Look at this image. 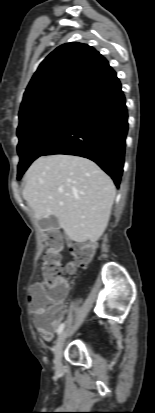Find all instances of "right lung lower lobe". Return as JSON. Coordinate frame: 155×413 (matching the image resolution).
I'll return each instance as SVG.
<instances>
[{"mask_svg": "<svg viewBox=\"0 0 155 413\" xmlns=\"http://www.w3.org/2000/svg\"><path fill=\"white\" fill-rule=\"evenodd\" d=\"M127 118L125 97L116 76L77 105L64 131L42 156L67 154L91 159L119 187Z\"/></svg>", "mask_w": 155, "mask_h": 413, "instance_id": "1", "label": "right lung lower lobe"}]
</instances>
